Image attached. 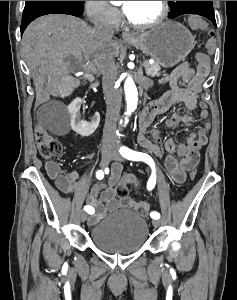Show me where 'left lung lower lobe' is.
Returning a JSON list of instances; mask_svg holds the SVG:
<instances>
[{
    "label": "left lung lower lobe",
    "instance_id": "obj_1",
    "mask_svg": "<svg viewBox=\"0 0 237 300\" xmlns=\"http://www.w3.org/2000/svg\"><path fill=\"white\" fill-rule=\"evenodd\" d=\"M201 16L206 17L207 19H209L216 26L214 13H203Z\"/></svg>",
    "mask_w": 237,
    "mask_h": 300
}]
</instances>
